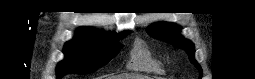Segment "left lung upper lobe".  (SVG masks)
<instances>
[{"mask_svg": "<svg viewBox=\"0 0 255 79\" xmlns=\"http://www.w3.org/2000/svg\"><path fill=\"white\" fill-rule=\"evenodd\" d=\"M148 33L153 37L160 38L174 46L185 49L190 61L202 73L199 64L194 59V46L192 42L180 35V28L178 26L166 22L156 23L149 28Z\"/></svg>", "mask_w": 255, "mask_h": 79, "instance_id": "5c2ea615", "label": "left lung upper lobe"}]
</instances>
